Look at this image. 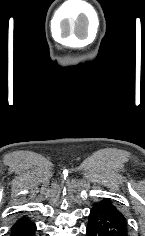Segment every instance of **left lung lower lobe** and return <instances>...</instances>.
Returning a JSON list of instances; mask_svg holds the SVG:
<instances>
[{
    "instance_id": "left-lung-lower-lobe-1",
    "label": "left lung lower lobe",
    "mask_w": 145,
    "mask_h": 236,
    "mask_svg": "<svg viewBox=\"0 0 145 236\" xmlns=\"http://www.w3.org/2000/svg\"><path fill=\"white\" fill-rule=\"evenodd\" d=\"M87 236H128L127 224L113 214L93 207L90 211Z\"/></svg>"
}]
</instances>
